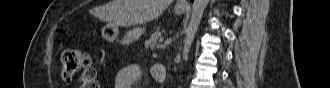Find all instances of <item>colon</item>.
<instances>
[{"label": "colon", "instance_id": "5ec220e1", "mask_svg": "<svg viewBox=\"0 0 330 88\" xmlns=\"http://www.w3.org/2000/svg\"><path fill=\"white\" fill-rule=\"evenodd\" d=\"M61 76L65 83H70L80 73L83 88H98L96 70L90 56L78 48L67 49L62 53Z\"/></svg>", "mask_w": 330, "mask_h": 88}]
</instances>
